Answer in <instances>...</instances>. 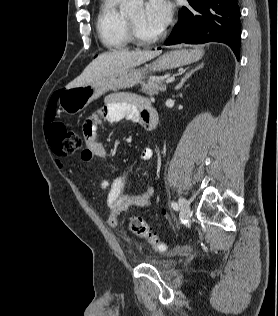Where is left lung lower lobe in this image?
<instances>
[{
  "mask_svg": "<svg viewBox=\"0 0 278 316\" xmlns=\"http://www.w3.org/2000/svg\"><path fill=\"white\" fill-rule=\"evenodd\" d=\"M188 2L190 5L179 11L178 24L165 41V45L222 42L227 44L239 59L241 29L237 0Z\"/></svg>",
  "mask_w": 278,
  "mask_h": 316,
  "instance_id": "0a47b994",
  "label": "left lung lower lobe"
}]
</instances>
